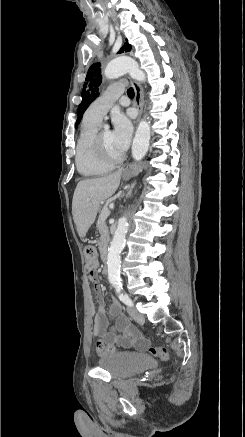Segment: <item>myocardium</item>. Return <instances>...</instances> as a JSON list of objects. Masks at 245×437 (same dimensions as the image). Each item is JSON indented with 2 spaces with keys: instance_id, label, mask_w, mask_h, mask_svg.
Wrapping results in <instances>:
<instances>
[{
  "instance_id": "obj_1",
  "label": "myocardium",
  "mask_w": 245,
  "mask_h": 437,
  "mask_svg": "<svg viewBox=\"0 0 245 437\" xmlns=\"http://www.w3.org/2000/svg\"><path fill=\"white\" fill-rule=\"evenodd\" d=\"M101 132L102 131H97L96 134L93 137V140H92V146H93V150H94L96 156L100 160H102L103 162H106V163H109V164H113L114 165V164L119 163L120 161L123 160L124 155L121 154V155H119L117 157H114V156L110 155L106 151V149H105V147L103 145L102 138H101Z\"/></svg>"
}]
</instances>
